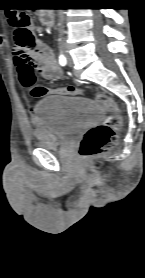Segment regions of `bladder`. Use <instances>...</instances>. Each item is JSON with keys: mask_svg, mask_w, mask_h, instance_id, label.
Listing matches in <instances>:
<instances>
[{"mask_svg": "<svg viewBox=\"0 0 145 278\" xmlns=\"http://www.w3.org/2000/svg\"><path fill=\"white\" fill-rule=\"evenodd\" d=\"M100 114L97 102L88 98L43 96L34 106L33 144L56 150L94 125Z\"/></svg>", "mask_w": 145, "mask_h": 278, "instance_id": "31cf9c89", "label": "bladder"}]
</instances>
